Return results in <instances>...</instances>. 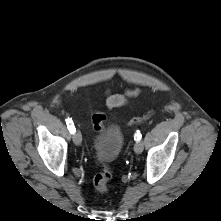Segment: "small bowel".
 <instances>
[{
  "label": "small bowel",
  "instance_id": "small-bowel-1",
  "mask_svg": "<svg viewBox=\"0 0 221 221\" xmlns=\"http://www.w3.org/2000/svg\"><path fill=\"white\" fill-rule=\"evenodd\" d=\"M135 94H136V90L134 89L128 90L126 95L109 94L107 97V105L109 108L120 107L125 104L126 96H133Z\"/></svg>",
  "mask_w": 221,
  "mask_h": 221
}]
</instances>
